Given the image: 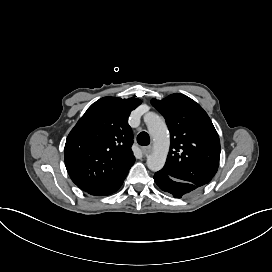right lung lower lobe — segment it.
Segmentation results:
<instances>
[{
	"label": "right lung lower lobe",
	"instance_id": "1",
	"mask_svg": "<svg viewBox=\"0 0 272 272\" xmlns=\"http://www.w3.org/2000/svg\"><path fill=\"white\" fill-rule=\"evenodd\" d=\"M128 172H126L125 174H123L121 177H119L115 182L101 187V188H97V189H92L89 191H86L87 193L94 195V196H106V195H110L114 192H116L122 185L124 179L126 178Z\"/></svg>",
	"mask_w": 272,
	"mask_h": 272
}]
</instances>
